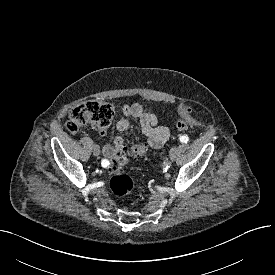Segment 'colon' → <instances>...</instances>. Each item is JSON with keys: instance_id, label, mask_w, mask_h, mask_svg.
I'll list each match as a JSON object with an SVG mask.
<instances>
[{"instance_id": "colon-1", "label": "colon", "mask_w": 275, "mask_h": 275, "mask_svg": "<svg viewBox=\"0 0 275 275\" xmlns=\"http://www.w3.org/2000/svg\"><path fill=\"white\" fill-rule=\"evenodd\" d=\"M114 117L113 106L101 100H87L73 107L68 115L66 128L71 133H77L82 126L88 123L96 125L100 131H105L111 124ZM192 121V109L188 105L179 107V119L176 126L179 130L187 129ZM143 145L133 147L131 153L134 156H143L145 154ZM127 164L126 156L114 159L109 167L111 174L110 190L114 197L121 198L133 190L132 179L124 173Z\"/></svg>"}]
</instances>
